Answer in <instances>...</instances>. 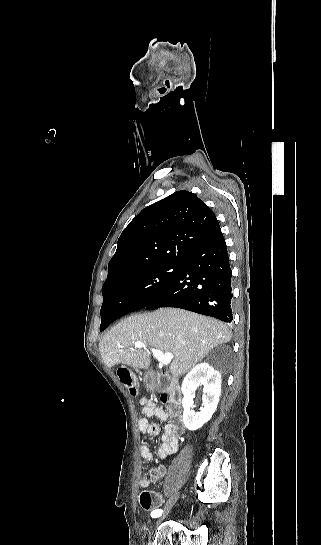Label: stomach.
<instances>
[{"label":"stomach","mask_w":321,"mask_h":545,"mask_svg":"<svg viewBox=\"0 0 321 545\" xmlns=\"http://www.w3.org/2000/svg\"><path fill=\"white\" fill-rule=\"evenodd\" d=\"M146 379H147V375H145V381H146Z\"/></svg>","instance_id":"1"}]
</instances>
